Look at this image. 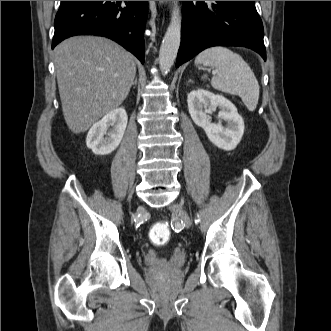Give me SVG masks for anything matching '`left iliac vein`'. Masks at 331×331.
<instances>
[{
	"label": "left iliac vein",
	"mask_w": 331,
	"mask_h": 331,
	"mask_svg": "<svg viewBox=\"0 0 331 331\" xmlns=\"http://www.w3.org/2000/svg\"><path fill=\"white\" fill-rule=\"evenodd\" d=\"M169 208L171 209V211H173L174 213H177L180 216V218L182 219V221L184 222V224L186 225L187 228H189L191 226L190 217H189L188 213L186 212V210L182 207V205L173 204V205H170Z\"/></svg>",
	"instance_id": "left-iliac-vein-1"
}]
</instances>
